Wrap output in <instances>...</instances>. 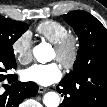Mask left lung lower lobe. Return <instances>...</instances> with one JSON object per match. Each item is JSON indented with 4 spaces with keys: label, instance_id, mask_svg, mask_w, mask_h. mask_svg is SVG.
I'll use <instances>...</instances> for the list:
<instances>
[{
    "label": "left lung lower lobe",
    "instance_id": "obj_1",
    "mask_svg": "<svg viewBox=\"0 0 107 107\" xmlns=\"http://www.w3.org/2000/svg\"><path fill=\"white\" fill-rule=\"evenodd\" d=\"M84 92L83 107H107V78L100 76L82 82L79 85ZM57 91L64 96L59 107H69L68 97L73 95L74 89L64 82H60Z\"/></svg>",
    "mask_w": 107,
    "mask_h": 107
}]
</instances>
